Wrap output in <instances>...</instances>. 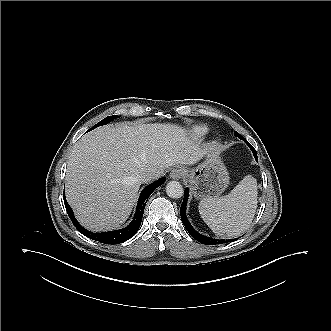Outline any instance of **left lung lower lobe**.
Here are the masks:
<instances>
[{
	"label": "left lung lower lobe",
	"mask_w": 331,
	"mask_h": 331,
	"mask_svg": "<svg viewBox=\"0 0 331 331\" xmlns=\"http://www.w3.org/2000/svg\"><path fill=\"white\" fill-rule=\"evenodd\" d=\"M235 135L237 137H239L240 139L244 140L248 144V146L251 148V150L253 151V153H254V155L256 157L257 154H256L255 149L239 133L236 132ZM187 201H188V188H186L185 191H184V200H183V203H182L181 208H180V215H181V219H182V222H183L184 226L186 227L187 231L189 232V234L194 239H196L197 241H199V242H201L203 244H207V245H216V244H222V243L229 242V241L224 240V239H220V240L219 239H213V238L204 236V235L198 233L197 231H195L193 229V227L190 225V223H189V221H188V219L186 217V212L185 211H186Z\"/></svg>",
	"instance_id": "1"
}]
</instances>
